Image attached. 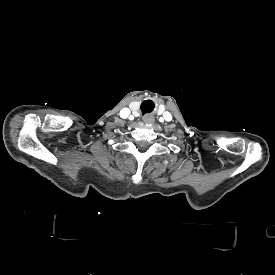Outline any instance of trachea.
Masks as SVG:
<instances>
[{"label":"trachea","mask_w":275,"mask_h":275,"mask_svg":"<svg viewBox=\"0 0 275 275\" xmlns=\"http://www.w3.org/2000/svg\"><path fill=\"white\" fill-rule=\"evenodd\" d=\"M141 110L143 115L152 112V109L146 103H142Z\"/></svg>","instance_id":"obj_1"}]
</instances>
